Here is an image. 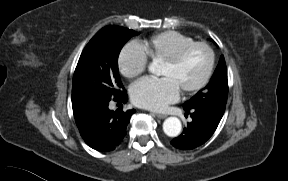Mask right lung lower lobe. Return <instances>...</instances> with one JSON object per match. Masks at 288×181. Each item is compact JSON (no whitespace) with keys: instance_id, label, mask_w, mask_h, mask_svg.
Returning <instances> with one entry per match:
<instances>
[{"instance_id":"right-lung-lower-lobe-1","label":"right lung lower lobe","mask_w":288,"mask_h":181,"mask_svg":"<svg viewBox=\"0 0 288 181\" xmlns=\"http://www.w3.org/2000/svg\"><path fill=\"white\" fill-rule=\"evenodd\" d=\"M118 102L127 101V93L114 98ZM109 101L95 107L91 119L80 134L87 145L102 152H109L116 149L126 135V128L130 117L136 111L134 109L116 111L108 108Z\"/></svg>"}]
</instances>
